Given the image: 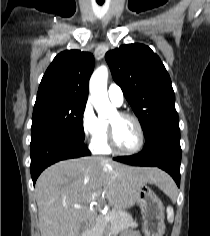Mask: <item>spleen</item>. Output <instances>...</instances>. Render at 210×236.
<instances>
[{
  "instance_id": "spleen-1",
  "label": "spleen",
  "mask_w": 210,
  "mask_h": 236,
  "mask_svg": "<svg viewBox=\"0 0 210 236\" xmlns=\"http://www.w3.org/2000/svg\"><path fill=\"white\" fill-rule=\"evenodd\" d=\"M174 184L172 183H166L165 184V192L171 195L174 192ZM174 217V211L172 207H167V218L169 221H173Z\"/></svg>"
}]
</instances>
